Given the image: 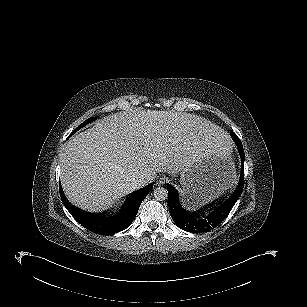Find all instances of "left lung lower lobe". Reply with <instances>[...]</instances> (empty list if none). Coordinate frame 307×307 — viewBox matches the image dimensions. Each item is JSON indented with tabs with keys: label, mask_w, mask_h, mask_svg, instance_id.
<instances>
[{
	"label": "left lung lower lobe",
	"mask_w": 307,
	"mask_h": 307,
	"mask_svg": "<svg viewBox=\"0 0 307 307\" xmlns=\"http://www.w3.org/2000/svg\"><path fill=\"white\" fill-rule=\"evenodd\" d=\"M238 150L242 161L241 176L238 186L234 193L218 208L213 210L208 216H203L200 211L189 212L184 210L179 203V197L176 189L172 185H167L169 196V213L180 229L197 234L208 232L218 226L228 216L232 207L240 197L244 187L243 146L238 147Z\"/></svg>",
	"instance_id": "left-lung-lower-lobe-1"
}]
</instances>
